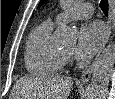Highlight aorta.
Segmentation results:
<instances>
[{
	"instance_id": "aorta-1",
	"label": "aorta",
	"mask_w": 115,
	"mask_h": 99,
	"mask_svg": "<svg viewBox=\"0 0 115 99\" xmlns=\"http://www.w3.org/2000/svg\"><path fill=\"white\" fill-rule=\"evenodd\" d=\"M72 0H62L64 6L71 5ZM58 42L62 45L75 40V30L69 27H59L55 31ZM115 62V44H109L97 58L91 79L89 99H105L108 89L109 77Z\"/></svg>"
}]
</instances>
